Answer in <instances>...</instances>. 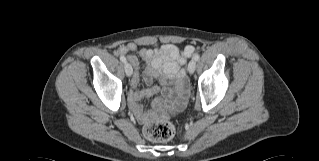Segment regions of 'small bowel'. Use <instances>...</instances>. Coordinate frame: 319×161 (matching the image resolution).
<instances>
[{
    "mask_svg": "<svg viewBox=\"0 0 319 161\" xmlns=\"http://www.w3.org/2000/svg\"><path fill=\"white\" fill-rule=\"evenodd\" d=\"M137 46L130 42L121 45L117 52L121 56H126L128 62L135 68L134 77L131 86L135 89L139 84L138 59L134 55H128L135 52ZM194 47L187 45L182 51L172 44H165L158 49L143 48L140 50L141 57L147 61L144 69V79L148 87L144 90L131 91L128 95V101L132 112L142 122L155 120L160 117L159 108L163 103H168L176 112L182 110L185 105L187 89L185 83V71L181 68L186 58L194 53ZM172 80L176 94L169 89L164 90V98H158L155 101L153 109L145 111L138 101L143 97H151L159 92V87L154 85L156 79L166 81Z\"/></svg>",
    "mask_w": 319,
    "mask_h": 161,
    "instance_id": "1",
    "label": "small bowel"
}]
</instances>
